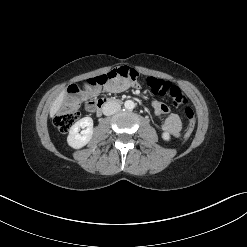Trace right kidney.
Wrapping results in <instances>:
<instances>
[{
	"instance_id": "obj_1",
	"label": "right kidney",
	"mask_w": 247,
	"mask_h": 247,
	"mask_svg": "<svg viewBox=\"0 0 247 247\" xmlns=\"http://www.w3.org/2000/svg\"><path fill=\"white\" fill-rule=\"evenodd\" d=\"M92 135L93 119L91 117H84L70 128L67 143L74 149H80L91 140Z\"/></svg>"
}]
</instances>
